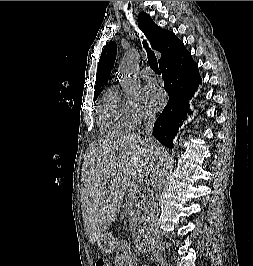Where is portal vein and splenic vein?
Segmentation results:
<instances>
[{"mask_svg":"<svg viewBox=\"0 0 253 266\" xmlns=\"http://www.w3.org/2000/svg\"><path fill=\"white\" fill-rule=\"evenodd\" d=\"M137 191H138L137 187H134L133 189L134 194H137Z\"/></svg>","mask_w":253,"mask_h":266,"instance_id":"portal-vein-and-splenic-vein-1","label":"portal vein and splenic vein"}]
</instances>
